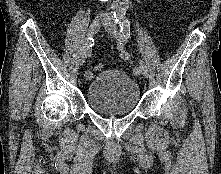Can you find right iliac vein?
I'll list each match as a JSON object with an SVG mask.
<instances>
[{
	"instance_id": "63e3f726",
	"label": "right iliac vein",
	"mask_w": 221,
	"mask_h": 174,
	"mask_svg": "<svg viewBox=\"0 0 221 174\" xmlns=\"http://www.w3.org/2000/svg\"><path fill=\"white\" fill-rule=\"evenodd\" d=\"M101 26V21L99 19L94 20L91 25L89 26L88 32H87V37H93L95 34L99 31ZM86 57L85 53L83 52V56L80 59V65H83L84 63V58Z\"/></svg>"
}]
</instances>
